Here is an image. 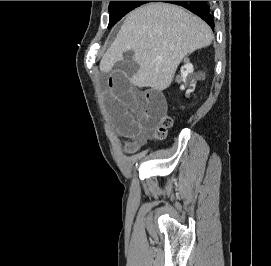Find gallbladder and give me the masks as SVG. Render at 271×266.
Here are the masks:
<instances>
[{"label":"gallbladder","mask_w":271,"mask_h":266,"mask_svg":"<svg viewBox=\"0 0 271 266\" xmlns=\"http://www.w3.org/2000/svg\"><path fill=\"white\" fill-rule=\"evenodd\" d=\"M114 68L122 76H132L139 70V65L133 60V52L129 51L124 53L123 59L118 61Z\"/></svg>","instance_id":"gallbladder-1"}]
</instances>
